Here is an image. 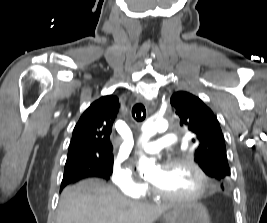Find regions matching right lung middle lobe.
<instances>
[{
  "instance_id": "dd1d6c3e",
  "label": "right lung middle lobe",
  "mask_w": 267,
  "mask_h": 223,
  "mask_svg": "<svg viewBox=\"0 0 267 223\" xmlns=\"http://www.w3.org/2000/svg\"><path fill=\"white\" fill-rule=\"evenodd\" d=\"M76 170L98 173L102 178L108 180L113 171V158L110 156L99 157V159H82L79 161L66 162L64 172Z\"/></svg>"
}]
</instances>
